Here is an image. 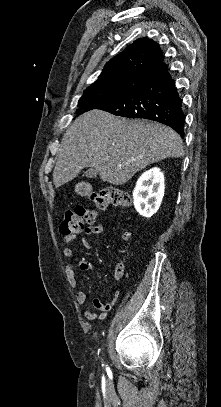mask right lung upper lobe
<instances>
[{
  "mask_svg": "<svg viewBox=\"0 0 221 407\" xmlns=\"http://www.w3.org/2000/svg\"><path fill=\"white\" fill-rule=\"evenodd\" d=\"M167 68L159 45L149 38H140L112 58L88 88L141 86Z\"/></svg>",
  "mask_w": 221,
  "mask_h": 407,
  "instance_id": "right-lung-upper-lobe-1",
  "label": "right lung upper lobe"
}]
</instances>
